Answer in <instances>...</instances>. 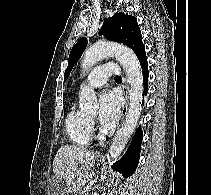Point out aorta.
<instances>
[{"mask_svg": "<svg viewBox=\"0 0 211 195\" xmlns=\"http://www.w3.org/2000/svg\"><path fill=\"white\" fill-rule=\"evenodd\" d=\"M108 56L115 57L122 64L131 86L129 90L130 105L125 122L118 130L109 148L108 160L111 165L123 151L137 126L142 110L143 75L135 53L124 46L110 42H97L89 47L84 52L82 69L87 70ZM79 103L83 111L93 112L99 108L95 91L87 86L80 92Z\"/></svg>", "mask_w": 211, "mask_h": 195, "instance_id": "1", "label": "aorta"}]
</instances>
